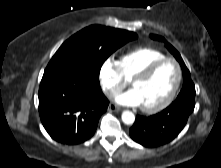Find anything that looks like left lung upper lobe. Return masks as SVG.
Masks as SVG:
<instances>
[{
  "instance_id": "5c2ea615",
  "label": "left lung upper lobe",
  "mask_w": 221,
  "mask_h": 168,
  "mask_svg": "<svg viewBox=\"0 0 221 168\" xmlns=\"http://www.w3.org/2000/svg\"><path fill=\"white\" fill-rule=\"evenodd\" d=\"M152 39L165 41L162 37H158L157 35H151ZM167 49L174 55V57L178 60L181 65L183 71V87L180 93L192 92L195 93V86L191 80V75L189 70L187 69L185 63L183 62L180 54L178 51L170 45L168 42L165 41Z\"/></svg>"
}]
</instances>
